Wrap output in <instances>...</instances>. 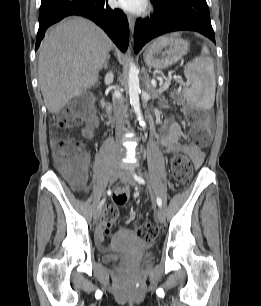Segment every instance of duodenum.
<instances>
[{"label": "duodenum", "instance_id": "obj_1", "mask_svg": "<svg viewBox=\"0 0 261 306\" xmlns=\"http://www.w3.org/2000/svg\"><path fill=\"white\" fill-rule=\"evenodd\" d=\"M107 113H108V119L110 120L112 116V106L111 105L107 106Z\"/></svg>", "mask_w": 261, "mask_h": 306}]
</instances>
